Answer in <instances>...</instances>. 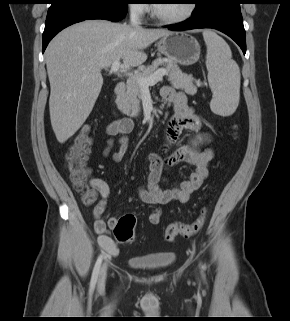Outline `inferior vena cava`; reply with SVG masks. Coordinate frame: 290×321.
Listing matches in <instances>:
<instances>
[{
  "instance_id": "1",
  "label": "inferior vena cava",
  "mask_w": 290,
  "mask_h": 321,
  "mask_svg": "<svg viewBox=\"0 0 290 321\" xmlns=\"http://www.w3.org/2000/svg\"><path fill=\"white\" fill-rule=\"evenodd\" d=\"M140 13L141 7L134 6L131 8L130 12V24L133 28H138L140 26Z\"/></svg>"
}]
</instances>
